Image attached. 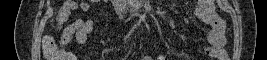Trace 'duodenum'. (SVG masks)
Wrapping results in <instances>:
<instances>
[{
	"mask_svg": "<svg viewBox=\"0 0 267 60\" xmlns=\"http://www.w3.org/2000/svg\"><path fill=\"white\" fill-rule=\"evenodd\" d=\"M120 1H116V9L118 12H121L123 10V7L120 5Z\"/></svg>",
	"mask_w": 267,
	"mask_h": 60,
	"instance_id": "1",
	"label": "duodenum"
}]
</instances>
